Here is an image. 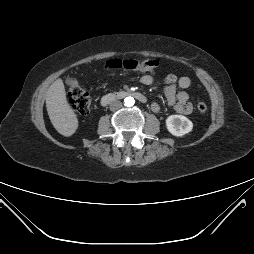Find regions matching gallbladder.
<instances>
[{
    "mask_svg": "<svg viewBox=\"0 0 254 254\" xmlns=\"http://www.w3.org/2000/svg\"><path fill=\"white\" fill-rule=\"evenodd\" d=\"M73 83H74L73 79H71V78L66 79V84L67 85H72Z\"/></svg>",
    "mask_w": 254,
    "mask_h": 254,
    "instance_id": "gallbladder-1",
    "label": "gallbladder"
}]
</instances>
